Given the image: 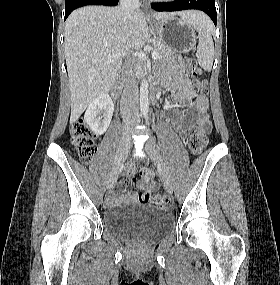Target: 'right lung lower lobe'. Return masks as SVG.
Masks as SVG:
<instances>
[{"mask_svg": "<svg viewBox=\"0 0 280 285\" xmlns=\"http://www.w3.org/2000/svg\"><path fill=\"white\" fill-rule=\"evenodd\" d=\"M118 4V0H66L65 3V18L76 8L85 5H106L115 6Z\"/></svg>", "mask_w": 280, "mask_h": 285, "instance_id": "obj_1", "label": "right lung lower lobe"}]
</instances>
